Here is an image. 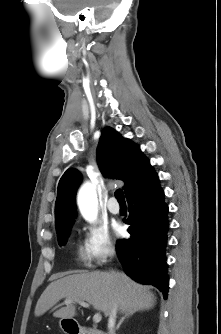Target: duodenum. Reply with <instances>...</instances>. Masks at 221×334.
<instances>
[{
  "label": "duodenum",
  "instance_id": "410a0bca",
  "mask_svg": "<svg viewBox=\"0 0 221 334\" xmlns=\"http://www.w3.org/2000/svg\"><path fill=\"white\" fill-rule=\"evenodd\" d=\"M70 334H106L104 331L90 328V327H81V328H74L68 331Z\"/></svg>",
  "mask_w": 221,
  "mask_h": 334
}]
</instances>
